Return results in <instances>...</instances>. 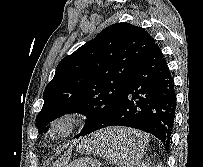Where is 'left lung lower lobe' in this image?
<instances>
[{
    "label": "left lung lower lobe",
    "instance_id": "0a47b994",
    "mask_svg": "<svg viewBox=\"0 0 203 167\" xmlns=\"http://www.w3.org/2000/svg\"><path fill=\"white\" fill-rule=\"evenodd\" d=\"M176 110L174 80L167 62L156 45L133 70L113 115L98 129L127 126L157 137L169 150ZM97 129V130H98ZM107 148H121L124 141L105 140Z\"/></svg>",
    "mask_w": 203,
    "mask_h": 167
}]
</instances>
